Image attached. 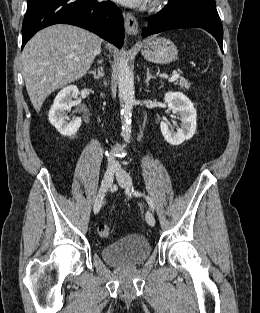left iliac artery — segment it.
<instances>
[{
  "label": "left iliac artery",
  "instance_id": "1",
  "mask_svg": "<svg viewBox=\"0 0 260 313\" xmlns=\"http://www.w3.org/2000/svg\"><path fill=\"white\" fill-rule=\"evenodd\" d=\"M132 193L135 195V196H144L146 198V201L147 203L149 204L150 208L152 211H154V203L152 201V199L149 197V196H146L138 191H136L133 187H132Z\"/></svg>",
  "mask_w": 260,
  "mask_h": 313
}]
</instances>
